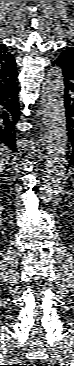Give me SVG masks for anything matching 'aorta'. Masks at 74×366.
I'll list each match as a JSON object with an SVG mask.
<instances>
[{"label":"aorta","instance_id":"aorta-1","mask_svg":"<svg viewBox=\"0 0 74 366\" xmlns=\"http://www.w3.org/2000/svg\"><path fill=\"white\" fill-rule=\"evenodd\" d=\"M64 80L59 67L51 68L42 86L43 123L48 140L46 164L39 190L44 201L63 189L67 169V123L63 100Z\"/></svg>","mask_w":74,"mask_h":366}]
</instances>
